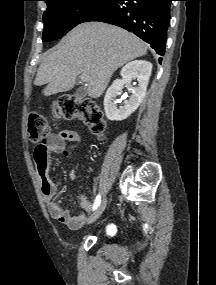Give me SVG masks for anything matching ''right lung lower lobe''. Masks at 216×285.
I'll return each mask as SVG.
<instances>
[{
	"label": "right lung lower lobe",
	"instance_id": "right-lung-lower-lobe-1",
	"mask_svg": "<svg viewBox=\"0 0 216 285\" xmlns=\"http://www.w3.org/2000/svg\"><path fill=\"white\" fill-rule=\"evenodd\" d=\"M173 0H108L84 19L101 21L132 31L163 56ZM161 62V58H160Z\"/></svg>",
	"mask_w": 216,
	"mask_h": 285
}]
</instances>
